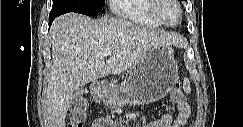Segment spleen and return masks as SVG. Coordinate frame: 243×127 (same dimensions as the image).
<instances>
[{"label":"spleen","mask_w":243,"mask_h":127,"mask_svg":"<svg viewBox=\"0 0 243 127\" xmlns=\"http://www.w3.org/2000/svg\"><path fill=\"white\" fill-rule=\"evenodd\" d=\"M183 89L186 93H190L191 92V88H190V82H189V79L188 78H185L184 79V82H183Z\"/></svg>","instance_id":"spleen-1"}]
</instances>
